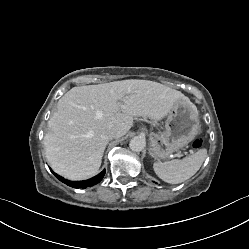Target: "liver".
I'll use <instances>...</instances> for the list:
<instances>
[{"mask_svg": "<svg viewBox=\"0 0 249 249\" xmlns=\"http://www.w3.org/2000/svg\"><path fill=\"white\" fill-rule=\"evenodd\" d=\"M178 100L193 105L181 92L149 80H122L78 86L57 103L44 136L46 159L59 175L70 180L94 176L102 162L108 128L125 135L134 117L159 121Z\"/></svg>", "mask_w": 249, "mask_h": 249, "instance_id": "liver-1", "label": "liver"}]
</instances>
